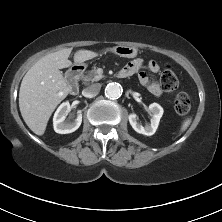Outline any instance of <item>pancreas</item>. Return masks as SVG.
I'll use <instances>...</instances> for the list:
<instances>
[{
    "mask_svg": "<svg viewBox=\"0 0 222 222\" xmlns=\"http://www.w3.org/2000/svg\"><path fill=\"white\" fill-rule=\"evenodd\" d=\"M102 79L101 75H98L96 72V68L88 71L86 75L82 76V80L84 84H88L89 82H96Z\"/></svg>",
    "mask_w": 222,
    "mask_h": 222,
    "instance_id": "1",
    "label": "pancreas"
}]
</instances>
